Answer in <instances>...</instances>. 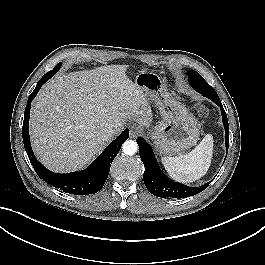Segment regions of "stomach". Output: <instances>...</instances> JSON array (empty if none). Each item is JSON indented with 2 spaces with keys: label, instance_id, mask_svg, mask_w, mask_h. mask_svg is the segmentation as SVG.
<instances>
[{
  "label": "stomach",
  "instance_id": "0dacf381",
  "mask_svg": "<svg viewBox=\"0 0 265 265\" xmlns=\"http://www.w3.org/2000/svg\"><path fill=\"white\" fill-rule=\"evenodd\" d=\"M134 84L159 110L162 120L149 132L162 155L180 154L196 144L200 135L197 119L175 99L164 81L151 71H141Z\"/></svg>",
  "mask_w": 265,
  "mask_h": 265
}]
</instances>
